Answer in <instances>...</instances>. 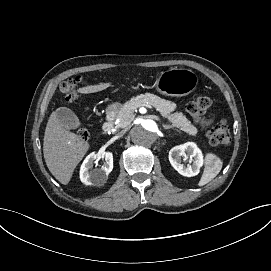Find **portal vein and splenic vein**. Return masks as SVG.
<instances>
[{"mask_svg": "<svg viewBox=\"0 0 271 271\" xmlns=\"http://www.w3.org/2000/svg\"><path fill=\"white\" fill-rule=\"evenodd\" d=\"M139 106L140 107L147 106L149 109H152V106L149 103H139Z\"/></svg>", "mask_w": 271, "mask_h": 271, "instance_id": "18ae733b", "label": "portal vein and splenic vein"}]
</instances>
